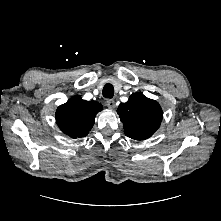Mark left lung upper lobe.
<instances>
[{
  "mask_svg": "<svg viewBox=\"0 0 221 221\" xmlns=\"http://www.w3.org/2000/svg\"><path fill=\"white\" fill-rule=\"evenodd\" d=\"M117 113L123 122L125 135L135 140L151 137L163 116L159 103L141 93H134L126 103H121Z\"/></svg>",
  "mask_w": 221,
  "mask_h": 221,
  "instance_id": "1",
  "label": "left lung upper lobe"
}]
</instances>
